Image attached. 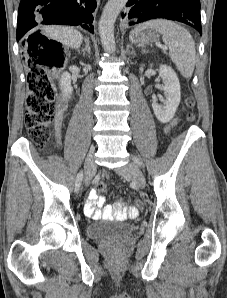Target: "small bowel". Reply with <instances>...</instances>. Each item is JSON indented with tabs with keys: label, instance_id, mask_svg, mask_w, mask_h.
<instances>
[{
	"label": "small bowel",
	"instance_id": "c3829d8e",
	"mask_svg": "<svg viewBox=\"0 0 227 298\" xmlns=\"http://www.w3.org/2000/svg\"><path fill=\"white\" fill-rule=\"evenodd\" d=\"M63 110L64 106H61L56 116V131L58 137L60 136L61 115ZM176 122L177 120H173L164 128V131L168 133L171 130V128L176 124ZM137 212V208H131L129 210L121 209V205L119 203H116L114 205H105V198L100 196L97 190H92L89 193L88 200L84 206V213L87 216L92 217L93 219H100L102 217L125 218L127 215H135Z\"/></svg>",
	"mask_w": 227,
	"mask_h": 298
}]
</instances>
